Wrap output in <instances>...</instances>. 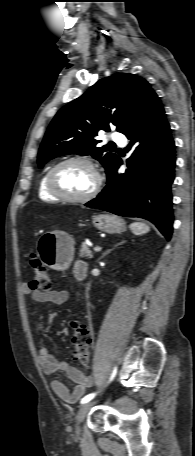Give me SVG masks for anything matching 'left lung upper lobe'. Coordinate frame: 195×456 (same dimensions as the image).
<instances>
[{
	"instance_id": "1",
	"label": "left lung upper lobe",
	"mask_w": 195,
	"mask_h": 456,
	"mask_svg": "<svg viewBox=\"0 0 195 456\" xmlns=\"http://www.w3.org/2000/svg\"><path fill=\"white\" fill-rule=\"evenodd\" d=\"M155 96L149 83L134 74H114L99 80L55 115L39 149V167L66 154L92 155L108 174L119 157L107 152V145L97 147V132H108L115 125L125 134Z\"/></svg>"
}]
</instances>
